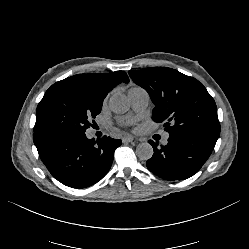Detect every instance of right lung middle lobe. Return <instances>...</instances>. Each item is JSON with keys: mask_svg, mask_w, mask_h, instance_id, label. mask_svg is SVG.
<instances>
[{"mask_svg": "<svg viewBox=\"0 0 249 249\" xmlns=\"http://www.w3.org/2000/svg\"><path fill=\"white\" fill-rule=\"evenodd\" d=\"M102 102L81 86L55 83L38 104L34 132H85Z\"/></svg>", "mask_w": 249, "mask_h": 249, "instance_id": "right-lung-middle-lobe-1", "label": "right lung middle lobe"}]
</instances>
